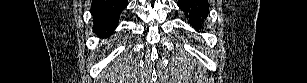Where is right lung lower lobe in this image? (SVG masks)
Wrapping results in <instances>:
<instances>
[{"instance_id":"right-lung-lower-lobe-1","label":"right lung lower lobe","mask_w":307,"mask_h":83,"mask_svg":"<svg viewBox=\"0 0 307 83\" xmlns=\"http://www.w3.org/2000/svg\"><path fill=\"white\" fill-rule=\"evenodd\" d=\"M127 4V0H93L91 10L94 33L100 38L112 35L117 27L120 14Z\"/></svg>"}]
</instances>
